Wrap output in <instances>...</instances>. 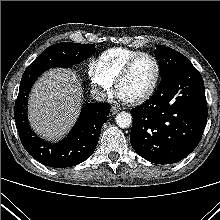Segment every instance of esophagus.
I'll return each instance as SVG.
<instances>
[{
    "instance_id": "obj_1",
    "label": "esophagus",
    "mask_w": 220,
    "mask_h": 220,
    "mask_svg": "<svg viewBox=\"0 0 220 220\" xmlns=\"http://www.w3.org/2000/svg\"><path fill=\"white\" fill-rule=\"evenodd\" d=\"M111 112H112V114H116V113L119 112V108H117V107H115V106H112V107H111Z\"/></svg>"
}]
</instances>
